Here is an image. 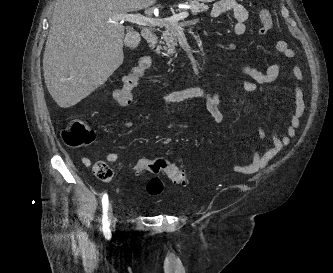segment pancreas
<instances>
[{
  "instance_id": "cf45deb5",
  "label": "pancreas",
  "mask_w": 333,
  "mask_h": 273,
  "mask_svg": "<svg viewBox=\"0 0 333 273\" xmlns=\"http://www.w3.org/2000/svg\"><path fill=\"white\" fill-rule=\"evenodd\" d=\"M188 5L191 6V12L196 15L197 13L204 12L208 9L204 4L199 3L197 0H189ZM180 30L178 23H167L166 31L163 32L162 39L165 42L164 50L165 56L172 55L175 52V46H177V34ZM160 43H163L162 41ZM161 46H158L156 52L159 53Z\"/></svg>"
}]
</instances>
